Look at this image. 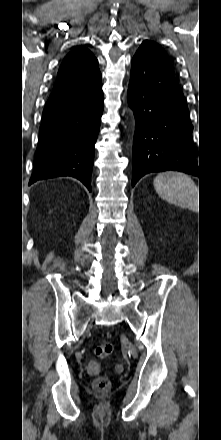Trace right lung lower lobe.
<instances>
[{"label": "right lung lower lobe", "mask_w": 221, "mask_h": 440, "mask_svg": "<svg viewBox=\"0 0 221 440\" xmlns=\"http://www.w3.org/2000/svg\"><path fill=\"white\" fill-rule=\"evenodd\" d=\"M102 113L101 79L86 87L53 91L43 111L36 164L29 184L72 176L91 191L94 145Z\"/></svg>", "instance_id": "right-lung-lower-lobe-1"}]
</instances>
